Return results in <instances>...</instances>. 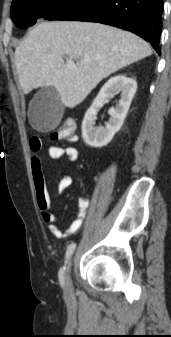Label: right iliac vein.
Returning <instances> with one entry per match:
<instances>
[{
    "instance_id": "obj_1",
    "label": "right iliac vein",
    "mask_w": 171,
    "mask_h": 337,
    "mask_svg": "<svg viewBox=\"0 0 171 337\" xmlns=\"http://www.w3.org/2000/svg\"><path fill=\"white\" fill-rule=\"evenodd\" d=\"M71 265H72V260L70 259L66 265V275H65V295L66 297H70L72 295V285H71V281H70V269H71Z\"/></svg>"
}]
</instances>
